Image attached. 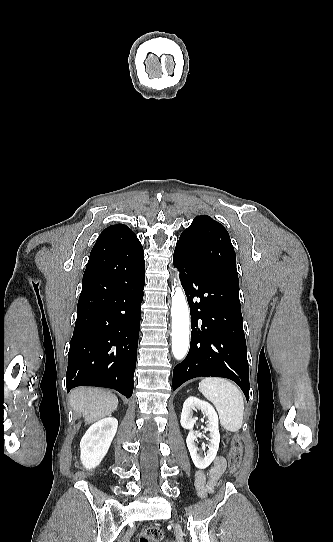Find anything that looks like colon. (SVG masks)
<instances>
[{
  "label": "colon",
  "instance_id": "obj_1",
  "mask_svg": "<svg viewBox=\"0 0 333 542\" xmlns=\"http://www.w3.org/2000/svg\"><path fill=\"white\" fill-rule=\"evenodd\" d=\"M243 444L239 435H234L227 438L225 444L226 461L230 471L234 472L238 469L242 458ZM163 533L157 526H149L145 528L139 535V542H161Z\"/></svg>",
  "mask_w": 333,
  "mask_h": 542
}]
</instances>
